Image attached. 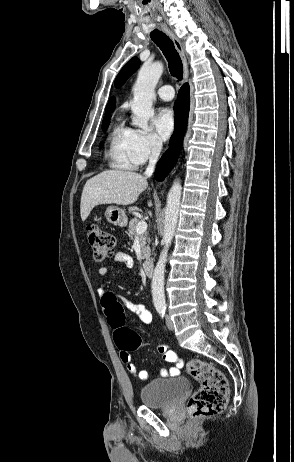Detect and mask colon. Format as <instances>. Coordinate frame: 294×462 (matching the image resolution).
<instances>
[{
  "mask_svg": "<svg viewBox=\"0 0 294 462\" xmlns=\"http://www.w3.org/2000/svg\"><path fill=\"white\" fill-rule=\"evenodd\" d=\"M86 236L96 261L101 262L113 255L115 239L112 234L91 224L86 228ZM101 306L108 324L114 329L115 344L121 351H136L144 346L140 336L125 326L123 307L115 293L105 292ZM186 370L200 384L187 403L189 413L194 417L221 413L227 405L229 394L225 375L215 366L199 359L189 360Z\"/></svg>",
  "mask_w": 294,
  "mask_h": 462,
  "instance_id": "5ec220e1",
  "label": "colon"
}]
</instances>
